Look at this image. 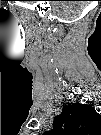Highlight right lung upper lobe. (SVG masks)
Masks as SVG:
<instances>
[{"instance_id":"1","label":"right lung upper lobe","mask_w":101,"mask_h":135,"mask_svg":"<svg viewBox=\"0 0 101 135\" xmlns=\"http://www.w3.org/2000/svg\"><path fill=\"white\" fill-rule=\"evenodd\" d=\"M99 123L100 115L92 106L70 103L55 118L53 128L66 135H98Z\"/></svg>"}]
</instances>
